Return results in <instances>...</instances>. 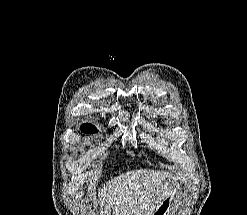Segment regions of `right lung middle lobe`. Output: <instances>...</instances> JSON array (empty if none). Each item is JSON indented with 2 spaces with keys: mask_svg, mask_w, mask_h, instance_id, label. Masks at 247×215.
I'll use <instances>...</instances> for the list:
<instances>
[{
  "mask_svg": "<svg viewBox=\"0 0 247 215\" xmlns=\"http://www.w3.org/2000/svg\"><path fill=\"white\" fill-rule=\"evenodd\" d=\"M81 130L84 132V133H95L97 132V129L95 128V126L91 125V124H83L81 126Z\"/></svg>",
  "mask_w": 247,
  "mask_h": 215,
  "instance_id": "1",
  "label": "right lung middle lobe"
}]
</instances>
